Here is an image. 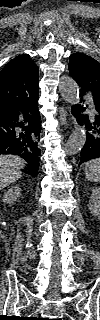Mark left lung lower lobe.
<instances>
[{
  "label": "left lung lower lobe",
  "instance_id": "1",
  "mask_svg": "<svg viewBox=\"0 0 100 320\" xmlns=\"http://www.w3.org/2000/svg\"><path fill=\"white\" fill-rule=\"evenodd\" d=\"M81 90V94H85V91ZM93 103L95 105L96 114L92 120H89L88 116L79 115L77 113V120L80 122V125H83L82 122H85V127L87 128L86 141L84 147L81 151L80 164L91 159L100 158V99L93 97ZM73 110L76 111L77 108L73 107ZM84 108L81 107L80 111H83Z\"/></svg>",
  "mask_w": 100,
  "mask_h": 320
}]
</instances>
